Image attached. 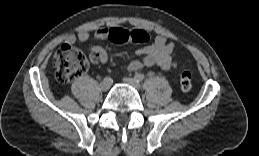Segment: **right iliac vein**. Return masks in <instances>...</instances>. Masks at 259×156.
Listing matches in <instances>:
<instances>
[{"instance_id":"63e3f726","label":"right iliac vein","mask_w":259,"mask_h":156,"mask_svg":"<svg viewBox=\"0 0 259 156\" xmlns=\"http://www.w3.org/2000/svg\"><path fill=\"white\" fill-rule=\"evenodd\" d=\"M111 86V82L110 81H106V80H103L101 83H100V89L102 91H107Z\"/></svg>"}]
</instances>
